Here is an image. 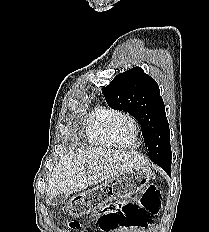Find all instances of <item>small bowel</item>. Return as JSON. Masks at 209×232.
<instances>
[{
    "label": "small bowel",
    "mask_w": 209,
    "mask_h": 232,
    "mask_svg": "<svg viewBox=\"0 0 209 232\" xmlns=\"http://www.w3.org/2000/svg\"><path fill=\"white\" fill-rule=\"evenodd\" d=\"M122 227H125V226H122ZM138 227H144V226H138ZM113 228H115V227H113ZM113 228H104V230H110V229H113Z\"/></svg>",
    "instance_id": "small-bowel-1"
}]
</instances>
